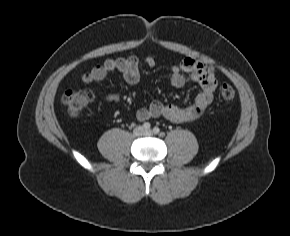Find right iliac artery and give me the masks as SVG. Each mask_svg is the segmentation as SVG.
Instances as JSON below:
<instances>
[{
  "label": "right iliac artery",
  "mask_w": 290,
  "mask_h": 236,
  "mask_svg": "<svg viewBox=\"0 0 290 236\" xmlns=\"http://www.w3.org/2000/svg\"><path fill=\"white\" fill-rule=\"evenodd\" d=\"M143 128H144L145 130H149V129L151 128L150 123L145 122V123L143 124Z\"/></svg>",
  "instance_id": "obj_1"
}]
</instances>
